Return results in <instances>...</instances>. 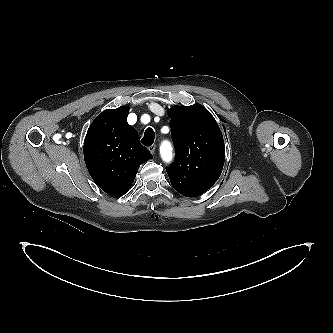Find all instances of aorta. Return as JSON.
I'll list each match as a JSON object with an SVG mask.
<instances>
[{"label":"aorta","instance_id":"obj_1","mask_svg":"<svg viewBox=\"0 0 333 333\" xmlns=\"http://www.w3.org/2000/svg\"><path fill=\"white\" fill-rule=\"evenodd\" d=\"M172 148L168 142H164L161 146V156L165 161H169L172 157Z\"/></svg>","mask_w":333,"mask_h":333}]
</instances>
